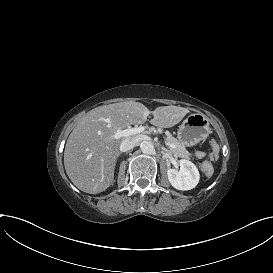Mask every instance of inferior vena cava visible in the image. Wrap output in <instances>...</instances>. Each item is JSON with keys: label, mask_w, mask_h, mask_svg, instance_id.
<instances>
[{"label": "inferior vena cava", "mask_w": 273, "mask_h": 273, "mask_svg": "<svg viewBox=\"0 0 273 273\" xmlns=\"http://www.w3.org/2000/svg\"><path fill=\"white\" fill-rule=\"evenodd\" d=\"M139 141L140 139L137 136L126 138L120 145V151L126 152L128 150H131L139 143Z\"/></svg>", "instance_id": "obj_1"}]
</instances>
